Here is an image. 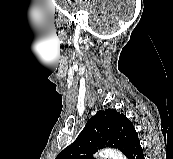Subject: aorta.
Returning a JSON list of instances; mask_svg holds the SVG:
<instances>
[{"mask_svg": "<svg viewBox=\"0 0 173 159\" xmlns=\"http://www.w3.org/2000/svg\"><path fill=\"white\" fill-rule=\"evenodd\" d=\"M101 159H126L122 152L116 149H104L98 152Z\"/></svg>", "mask_w": 173, "mask_h": 159, "instance_id": "aorta-1", "label": "aorta"}]
</instances>
